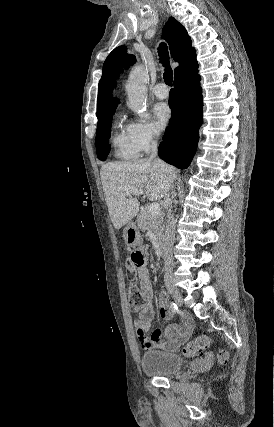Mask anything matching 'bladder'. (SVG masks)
Listing matches in <instances>:
<instances>
[{"instance_id":"bladder-1","label":"bladder","mask_w":274,"mask_h":427,"mask_svg":"<svg viewBox=\"0 0 274 427\" xmlns=\"http://www.w3.org/2000/svg\"><path fill=\"white\" fill-rule=\"evenodd\" d=\"M140 363L145 375L170 377L179 373L184 366L179 353L147 351L141 354Z\"/></svg>"}]
</instances>
